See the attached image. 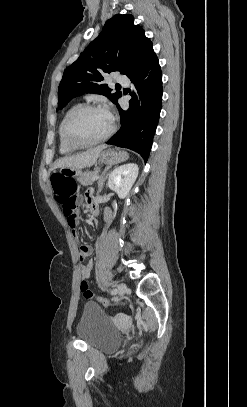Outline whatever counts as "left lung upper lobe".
Here are the masks:
<instances>
[{
    "label": "left lung upper lobe",
    "instance_id": "left-lung-upper-lobe-1",
    "mask_svg": "<svg viewBox=\"0 0 247 407\" xmlns=\"http://www.w3.org/2000/svg\"><path fill=\"white\" fill-rule=\"evenodd\" d=\"M152 50L151 40L140 25L134 24L132 15H115L64 71L58 89V108L84 93L102 94L117 104L121 92L112 93L107 84H101L103 74L119 71L129 77Z\"/></svg>",
    "mask_w": 247,
    "mask_h": 407
}]
</instances>
